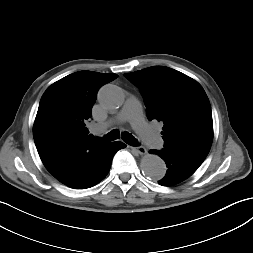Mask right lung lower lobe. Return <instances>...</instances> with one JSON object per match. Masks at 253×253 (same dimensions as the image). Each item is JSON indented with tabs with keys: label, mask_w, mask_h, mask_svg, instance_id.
I'll return each mask as SVG.
<instances>
[{
	"label": "right lung lower lobe",
	"mask_w": 253,
	"mask_h": 253,
	"mask_svg": "<svg viewBox=\"0 0 253 253\" xmlns=\"http://www.w3.org/2000/svg\"><path fill=\"white\" fill-rule=\"evenodd\" d=\"M125 147L126 145L119 141L106 143V145L103 147L99 155V171H98L97 176L90 183L80 187V189L92 187L96 185L97 183H99L102 179H104L110 170L111 162H112V158L114 154L119 149H122Z\"/></svg>",
	"instance_id": "right-lung-lower-lobe-1"
}]
</instances>
